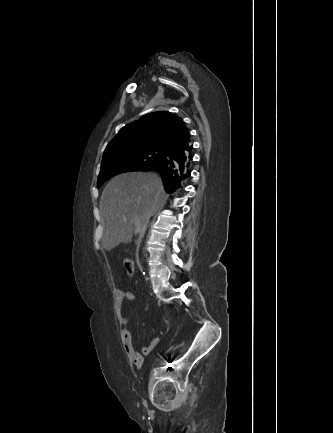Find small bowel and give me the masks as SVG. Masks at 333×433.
Listing matches in <instances>:
<instances>
[{
    "label": "small bowel",
    "instance_id": "c3829d8e",
    "mask_svg": "<svg viewBox=\"0 0 333 433\" xmlns=\"http://www.w3.org/2000/svg\"><path fill=\"white\" fill-rule=\"evenodd\" d=\"M117 297L118 300L123 303L125 301H133L135 299V294L130 291L119 290L117 292ZM128 322V318L121 310L119 315V324L121 326V340L123 347L132 364L136 367H141L145 356L152 352V350L159 344L160 339L158 337L152 339L149 345L144 346L141 351H137L133 343L132 334L128 329Z\"/></svg>",
    "mask_w": 333,
    "mask_h": 433
}]
</instances>
